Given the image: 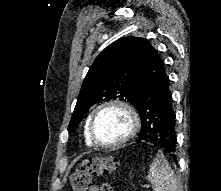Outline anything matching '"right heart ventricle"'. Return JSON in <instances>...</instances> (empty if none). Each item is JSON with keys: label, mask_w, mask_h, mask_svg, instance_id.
Wrapping results in <instances>:
<instances>
[{"label": "right heart ventricle", "mask_w": 221, "mask_h": 191, "mask_svg": "<svg viewBox=\"0 0 221 191\" xmlns=\"http://www.w3.org/2000/svg\"><path fill=\"white\" fill-rule=\"evenodd\" d=\"M88 123H89V118L86 120V123H85V126H84V131H83L84 141H85V144H86L87 146L93 147L94 144H93L92 141L90 140L89 134H88Z\"/></svg>", "instance_id": "right-heart-ventricle-1"}]
</instances>
